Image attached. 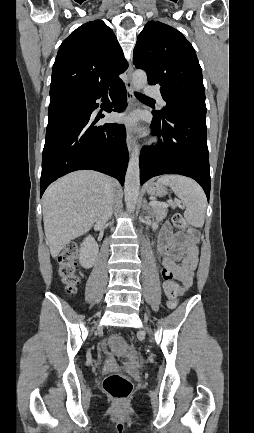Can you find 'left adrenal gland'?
I'll return each instance as SVG.
<instances>
[{
	"mask_svg": "<svg viewBox=\"0 0 254 433\" xmlns=\"http://www.w3.org/2000/svg\"><path fill=\"white\" fill-rule=\"evenodd\" d=\"M143 209L145 212H147L148 214H151V209L149 204L147 203L146 198L143 199V205H142Z\"/></svg>",
	"mask_w": 254,
	"mask_h": 433,
	"instance_id": "1",
	"label": "left adrenal gland"
}]
</instances>
